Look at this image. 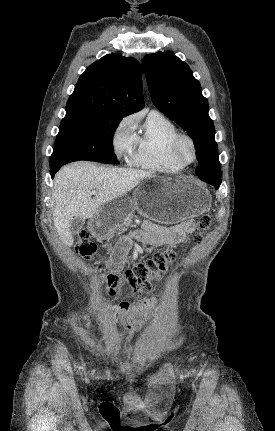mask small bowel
<instances>
[{"label": "small bowel", "instance_id": "obj_1", "mask_svg": "<svg viewBox=\"0 0 275 431\" xmlns=\"http://www.w3.org/2000/svg\"><path fill=\"white\" fill-rule=\"evenodd\" d=\"M195 222L192 219L185 220L175 226L164 227L147 221L143 225V231L136 235V238L146 244L153 246L176 245L186 240L188 235L195 231ZM131 241L124 237L118 241L109 259L112 268H119L130 247ZM156 300L147 299L142 303L130 304L121 303L114 307L120 316L119 327L121 336L124 339L126 348H131V341L134 334L141 329L144 322L153 316Z\"/></svg>", "mask_w": 275, "mask_h": 431}]
</instances>
